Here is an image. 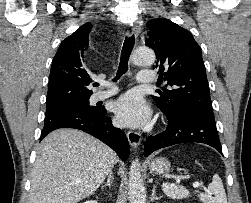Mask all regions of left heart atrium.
Instances as JSON below:
<instances>
[{
  "label": "left heart atrium",
  "instance_id": "39dd6f15",
  "mask_svg": "<svg viewBox=\"0 0 251 203\" xmlns=\"http://www.w3.org/2000/svg\"><path fill=\"white\" fill-rule=\"evenodd\" d=\"M114 110L116 121L121 126H142L150 117V111L144 99L136 92H129L122 96L115 103Z\"/></svg>",
  "mask_w": 251,
  "mask_h": 203
}]
</instances>
